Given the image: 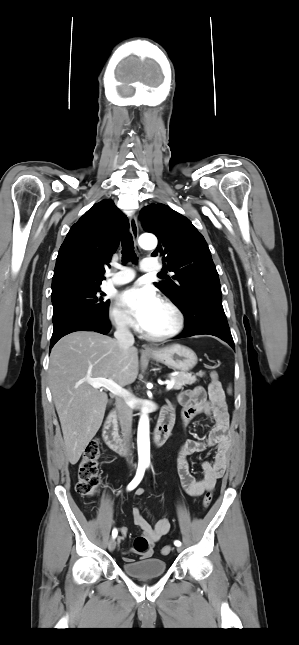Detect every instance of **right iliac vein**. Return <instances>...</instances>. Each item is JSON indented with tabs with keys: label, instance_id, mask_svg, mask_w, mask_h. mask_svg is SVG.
<instances>
[{
	"label": "right iliac vein",
	"instance_id": "obj_1",
	"mask_svg": "<svg viewBox=\"0 0 299 645\" xmlns=\"http://www.w3.org/2000/svg\"><path fill=\"white\" fill-rule=\"evenodd\" d=\"M115 548H116V541L115 539H111L108 543V549L110 551H114Z\"/></svg>",
	"mask_w": 299,
	"mask_h": 645
}]
</instances>
